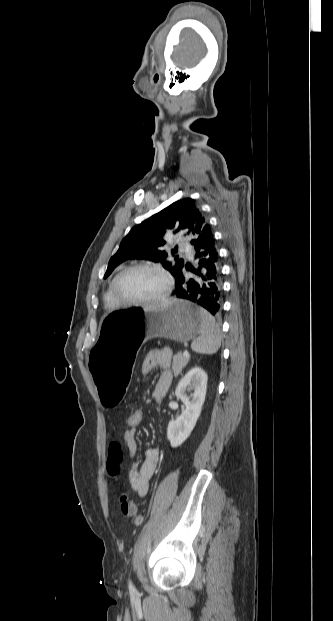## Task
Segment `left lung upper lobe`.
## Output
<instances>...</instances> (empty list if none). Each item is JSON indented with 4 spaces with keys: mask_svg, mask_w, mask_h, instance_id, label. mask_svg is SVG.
I'll return each instance as SVG.
<instances>
[{
    "mask_svg": "<svg viewBox=\"0 0 333 621\" xmlns=\"http://www.w3.org/2000/svg\"><path fill=\"white\" fill-rule=\"evenodd\" d=\"M207 220L201 215L191 198L178 200L157 214L134 226L120 243V247L111 257L104 278L122 262L129 259H146L160 262L174 277L184 267V260L175 258V262L167 259L168 254L161 251L165 244L166 233L188 235L191 243L197 239ZM172 250V254H174Z\"/></svg>",
    "mask_w": 333,
    "mask_h": 621,
    "instance_id": "5c2ea615",
    "label": "left lung upper lobe"
}]
</instances>
